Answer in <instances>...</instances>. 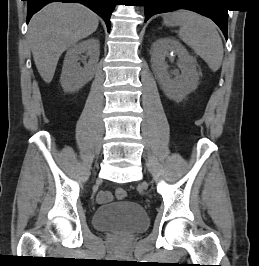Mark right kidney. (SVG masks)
Masks as SVG:
<instances>
[{
  "mask_svg": "<svg viewBox=\"0 0 259 266\" xmlns=\"http://www.w3.org/2000/svg\"><path fill=\"white\" fill-rule=\"evenodd\" d=\"M82 54H85L84 59L89 58L84 67L78 62ZM99 55L100 42L96 38L81 41L67 51L60 78L64 91L76 92L93 78Z\"/></svg>",
  "mask_w": 259,
  "mask_h": 266,
  "instance_id": "right-kidney-1",
  "label": "right kidney"
}]
</instances>
